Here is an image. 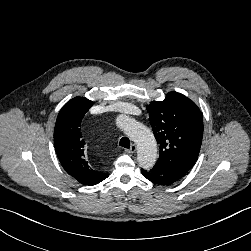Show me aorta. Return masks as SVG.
Returning <instances> with one entry per match:
<instances>
[{"label":"aorta","instance_id":"aorta-1","mask_svg":"<svg viewBox=\"0 0 251 251\" xmlns=\"http://www.w3.org/2000/svg\"><path fill=\"white\" fill-rule=\"evenodd\" d=\"M125 133L137 144V161L144 169L152 168L157 161V143L153 133L142 123L127 119Z\"/></svg>","mask_w":251,"mask_h":251}]
</instances>
